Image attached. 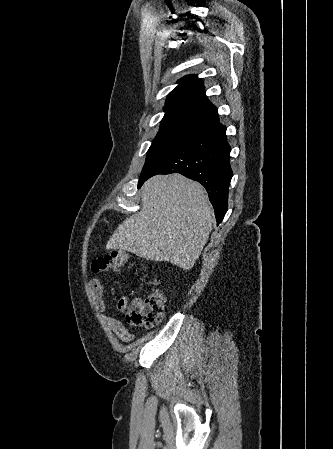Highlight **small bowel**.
I'll use <instances>...</instances> for the list:
<instances>
[{"instance_id": "obj_1", "label": "small bowel", "mask_w": 333, "mask_h": 449, "mask_svg": "<svg viewBox=\"0 0 333 449\" xmlns=\"http://www.w3.org/2000/svg\"><path fill=\"white\" fill-rule=\"evenodd\" d=\"M89 287L94 300V304L101 313L102 319L110 327L113 333L123 342H130L134 339V335L123 325V323L116 317L107 314V304L104 300V287L100 277L94 276L89 281ZM138 299L129 300L128 297L122 296L116 304L118 311L124 312Z\"/></svg>"}]
</instances>
